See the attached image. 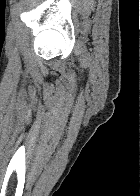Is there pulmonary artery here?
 Returning <instances> with one entry per match:
<instances>
[{"instance_id": "e3ab8cb5", "label": "pulmonary artery", "mask_w": 140, "mask_h": 196, "mask_svg": "<svg viewBox=\"0 0 140 196\" xmlns=\"http://www.w3.org/2000/svg\"><path fill=\"white\" fill-rule=\"evenodd\" d=\"M33 192H48V191H33Z\"/></svg>"}]
</instances>
